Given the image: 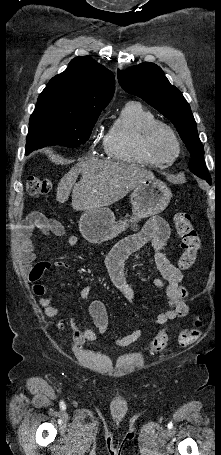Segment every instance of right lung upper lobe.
Returning <instances> with one entry per match:
<instances>
[{
    "instance_id": "cb5924a9",
    "label": "right lung upper lobe",
    "mask_w": 221,
    "mask_h": 455,
    "mask_svg": "<svg viewBox=\"0 0 221 455\" xmlns=\"http://www.w3.org/2000/svg\"><path fill=\"white\" fill-rule=\"evenodd\" d=\"M114 91L111 71L89 56H78L49 81L35 108L68 114L98 113L108 105Z\"/></svg>"
}]
</instances>
